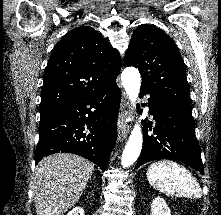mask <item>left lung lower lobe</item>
<instances>
[{
  "label": "left lung lower lobe",
  "mask_w": 221,
  "mask_h": 215,
  "mask_svg": "<svg viewBox=\"0 0 221 215\" xmlns=\"http://www.w3.org/2000/svg\"><path fill=\"white\" fill-rule=\"evenodd\" d=\"M146 94L150 95L149 112L153 115L156 124L153 129L154 135H148L147 120L143 122V149L136 168L153 160L173 159L186 163L203 174L204 168L200 146L195 136L192 107L167 101L141 88L140 97Z\"/></svg>",
  "instance_id": "obj_1"
}]
</instances>
